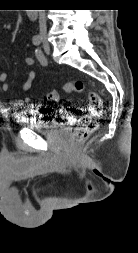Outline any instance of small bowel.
Masks as SVG:
<instances>
[{
  "label": "small bowel",
  "instance_id": "obj_1",
  "mask_svg": "<svg viewBox=\"0 0 138 253\" xmlns=\"http://www.w3.org/2000/svg\"><path fill=\"white\" fill-rule=\"evenodd\" d=\"M25 63L29 66H32L34 64V59L32 57H26ZM37 70H31L28 73L27 79L24 82L22 86L23 92H27L33 85V82L35 81L37 77ZM0 83L3 91L9 90V84L7 82V74L0 68ZM30 99L28 97H23L21 99H18L13 102V105L15 107H23L26 105H29Z\"/></svg>",
  "mask_w": 138,
  "mask_h": 253
}]
</instances>
